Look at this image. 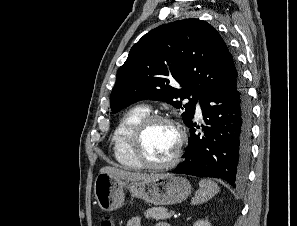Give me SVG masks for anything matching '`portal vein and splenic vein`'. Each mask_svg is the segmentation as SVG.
Here are the masks:
<instances>
[{
    "instance_id": "portal-vein-and-splenic-vein-1",
    "label": "portal vein and splenic vein",
    "mask_w": 297,
    "mask_h": 226,
    "mask_svg": "<svg viewBox=\"0 0 297 226\" xmlns=\"http://www.w3.org/2000/svg\"><path fill=\"white\" fill-rule=\"evenodd\" d=\"M170 213L172 214V215H174V217H175V212L172 210V211H170Z\"/></svg>"
}]
</instances>
